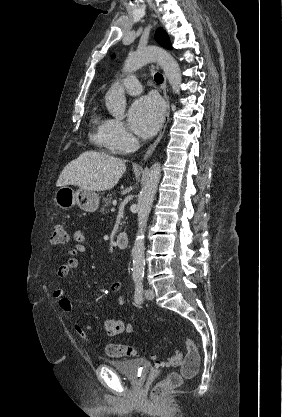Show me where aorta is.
<instances>
[{
    "mask_svg": "<svg viewBox=\"0 0 282 417\" xmlns=\"http://www.w3.org/2000/svg\"><path fill=\"white\" fill-rule=\"evenodd\" d=\"M156 60L163 68L172 90L179 92L182 82L180 66L174 56L160 48V46H147V48H137L136 52L129 54L123 64V72H133L142 68L146 62ZM106 106L115 118H124L126 108L125 90L116 80L105 94ZM161 176V166L159 162L152 164L147 176H145L144 186L138 196V229L134 247L132 249V277L133 279H143L145 271V231L152 202L156 194L158 182Z\"/></svg>",
    "mask_w": 282,
    "mask_h": 417,
    "instance_id": "aorta-1",
    "label": "aorta"
}]
</instances>
